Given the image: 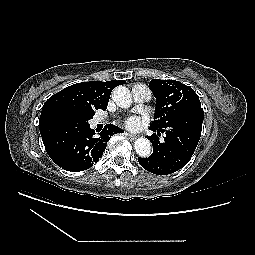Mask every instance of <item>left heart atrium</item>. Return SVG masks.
<instances>
[{"mask_svg": "<svg viewBox=\"0 0 255 255\" xmlns=\"http://www.w3.org/2000/svg\"><path fill=\"white\" fill-rule=\"evenodd\" d=\"M136 119L135 118H129L126 122L128 127H135L136 126Z\"/></svg>", "mask_w": 255, "mask_h": 255, "instance_id": "39dd6f15", "label": "left heart atrium"}]
</instances>
